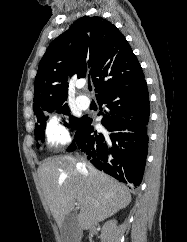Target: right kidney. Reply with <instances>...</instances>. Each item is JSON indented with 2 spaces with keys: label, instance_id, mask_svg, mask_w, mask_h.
<instances>
[{
  "label": "right kidney",
  "instance_id": "ca27d5eb",
  "mask_svg": "<svg viewBox=\"0 0 187 242\" xmlns=\"http://www.w3.org/2000/svg\"><path fill=\"white\" fill-rule=\"evenodd\" d=\"M115 225H116V220H111V221L106 223L105 229L107 231H111L115 227Z\"/></svg>",
  "mask_w": 187,
  "mask_h": 242
}]
</instances>
